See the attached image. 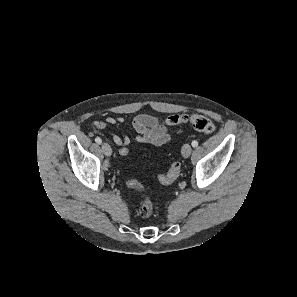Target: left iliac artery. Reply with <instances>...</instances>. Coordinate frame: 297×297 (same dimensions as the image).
<instances>
[{"mask_svg": "<svg viewBox=\"0 0 297 297\" xmlns=\"http://www.w3.org/2000/svg\"><path fill=\"white\" fill-rule=\"evenodd\" d=\"M191 144H192L193 147H197L198 146V141L197 140H193Z\"/></svg>", "mask_w": 297, "mask_h": 297, "instance_id": "44dca946", "label": "left iliac artery"}]
</instances>
